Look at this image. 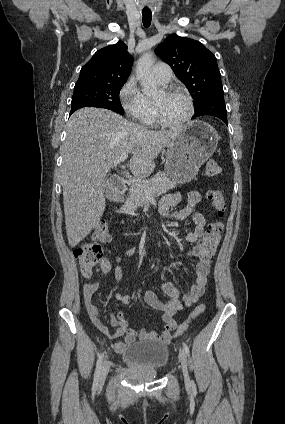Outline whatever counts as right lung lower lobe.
<instances>
[{
	"label": "right lung lower lobe",
	"instance_id": "1",
	"mask_svg": "<svg viewBox=\"0 0 285 424\" xmlns=\"http://www.w3.org/2000/svg\"><path fill=\"white\" fill-rule=\"evenodd\" d=\"M82 107H87L86 105H76V106H71V111H70V115L75 112L76 110L82 108Z\"/></svg>",
	"mask_w": 285,
	"mask_h": 424
}]
</instances>
